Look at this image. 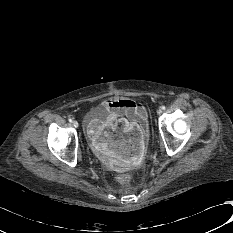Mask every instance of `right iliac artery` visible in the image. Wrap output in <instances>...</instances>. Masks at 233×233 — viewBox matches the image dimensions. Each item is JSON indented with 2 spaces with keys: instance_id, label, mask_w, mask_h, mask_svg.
Returning <instances> with one entry per match:
<instances>
[{
  "instance_id": "82829eb1",
  "label": "right iliac artery",
  "mask_w": 233,
  "mask_h": 233,
  "mask_svg": "<svg viewBox=\"0 0 233 233\" xmlns=\"http://www.w3.org/2000/svg\"><path fill=\"white\" fill-rule=\"evenodd\" d=\"M69 122H72V119H71V118L69 119Z\"/></svg>"
}]
</instances>
